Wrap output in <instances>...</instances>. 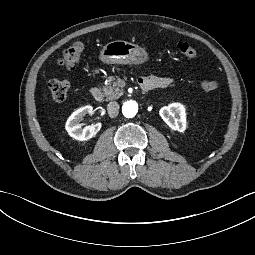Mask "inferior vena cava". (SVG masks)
<instances>
[{
  "mask_svg": "<svg viewBox=\"0 0 255 255\" xmlns=\"http://www.w3.org/2000/svg\"><path fill=\"white\" fill-rule=\"evenodd\" d=\"M108 114L111 118H114L119 113V104L116 101L109 102L107 106Z\"/></svg>",
  "mask_w": 255,
  "mask_h": 255,
  "instance_id": "inferior-vena-cava-1",
  "label": "inferior vena cava"
}]
</instances>
